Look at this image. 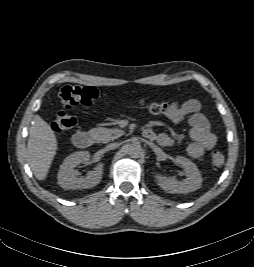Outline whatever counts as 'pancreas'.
Instances as JSON below:
<instances>
[{
    "mask_svg": "<svg viewBox=\"0 0 254 267\" xmlns=\"http://www.w3.org/2000/svg\"><path fill=\"white\" fill-rule=\"evenodd\" d=\"M98 142L107 143L121 136L123 132L119 129L94 128L91 130Z\"/></svg>",
    "mask_w": 254,
    "mask_h": 267,
    "instance_id": "1",
    "label": "pancreas"
}]
</instances>
